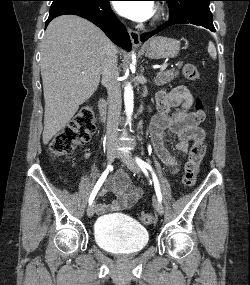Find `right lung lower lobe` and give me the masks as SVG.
I'll list each match as a JSON object with an SVG mask.
<instances>
[{
	"label": "right lung lower lobe",
	"instance_id": "1",
	"mask_svg": "<svg viewBox=\"0 0 250 285\" xmlns=\"http://www.w3.org/2000/svg\"><path fill=\"white\" fill-rule=\"evenodd\" d=\"M110 0H105L98 7L92 8H72L62 12L49 15L46 25L57 16L73 14L81 16L95 25H97L104 33L117 45L126 51L131 50V41L125 26L116 18L109 4Z\"/></svg>",
	"mask_w": 250,
	"mask_h": 285
}]
</instances>
